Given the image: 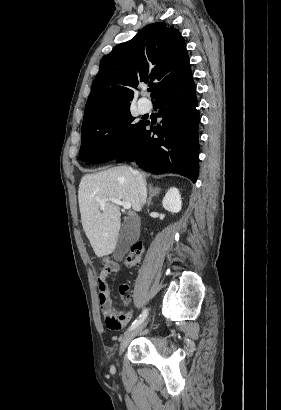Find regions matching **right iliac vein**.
<instances>
[{
  "mask_svg": "<svg viewBox=\"0 0 281 410\" xmlns=\"http://www.w3.org/2000/svg\"><path fill=\"white\" fill-rule=\"evenodd\" d=\"M147 320H145L142 324L137 326L136 328L132 329L130 332H128L124 338L121 341L120 348H119V353L124 351V349L128 346V344L131 342V340L136 337L146 326Z\"/></svg>",
  "mask_w": 281,
  "mask_h": 410,
  "instance_id": "right-iliac-vein-1",
  "label": "right iliac vein"
}]
</instances>
